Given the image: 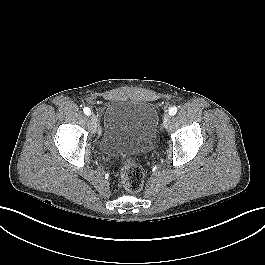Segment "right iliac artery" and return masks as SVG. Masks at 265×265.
<instances>
[{"label": "right iliac artery", "mask_w": 265, "mask_h": 265, "mask_svg": "<svg viewBox=\"0 0 265 265\" xmlns=\"http://www.w3.org/2000/svg\"><path fill=\"white\" fill-rule=\"evenodd\" d=\"M83 111L87 116L91 115V110L88 107H85Z\"/></svg>", "instance_id": "right-iliac-artery-1"}]
</instances>
